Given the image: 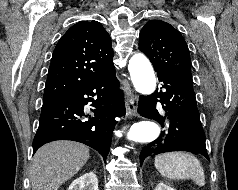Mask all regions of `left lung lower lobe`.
<instances>
[{"mask_svg": "<svg viewBox=\"0 0 238 190\" xmlns=\"http://www.w3.org/2000/svg\"><path fill=\"white\" fill-rule=\"evenodd\" d=\"M156 72L162 87L159 92L156 90V95L139 97L138 112L145 118L156 120L165 129L142 149L140 163L151 154L171 151L198 153L209 159L193 81L178 74ZM157 102H160V107Z\"/></svg>", "mask_w": 238, "mask_h": 190, "instance_id": "1", "label": "left lung lower lobe"}]
</instances>
